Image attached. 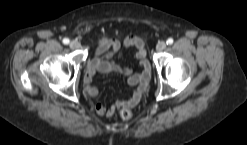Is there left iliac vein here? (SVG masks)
Here are the masks:
<instances>
[{"label":"left iliac vein","mask_w":247,"mask_h":145,"mask_svg":"<svg viewBox=\"0 0 247 145\" xmlns=\"http://www.w3.org/2000/svg\"><path fill=\"white\" fill-rule=\"evenodd\" d=\"M167 44L165 41H159L156 46L157 51H163L166 48Z\"/></svg>","instance_id":"4c4485c4"}]
</instances>
